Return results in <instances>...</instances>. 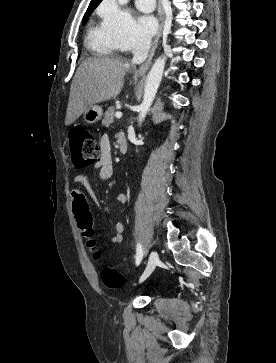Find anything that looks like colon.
Returning <instances> with one entry per match:
<instances>
[{"label": "colon", "instance_id": "colon-1", "mask_svg": "<svg viewBox=\"0 0 276 363\" xmlns=\"http://www.w3.org/2000/svg\"><path fill=\"white\" fill-rule=\"evenodd\" d=\"M69 144L74 164L79 168H86L96 163L99 158V145L94 134L85 128H75L69 133ZM93 224V222H92ZM78 225L81 229H88L91 225L87 215L79 217ZM88 245L95 249L93 237L88 240ZM101 253L97 250L94 257L99 258ZM101 278L104 285L110 289L122 288L125 284V277L112 267H105L101 271Z\"/></svg>", "mask_w": 276, "mask_h": 363}]
</instances>
